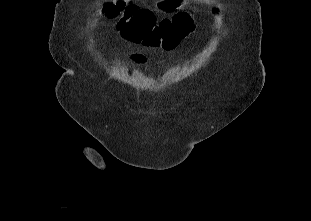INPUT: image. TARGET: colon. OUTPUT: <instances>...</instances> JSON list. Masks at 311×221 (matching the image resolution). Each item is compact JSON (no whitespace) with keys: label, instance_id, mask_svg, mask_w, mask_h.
<instances>
[{"label":"colon","instance_id":"1","mask_svg":"<svg viewBox=\"0 0 311 221\" xmlns=\"http://www.w3.org/2000/svg\"><path fill=\"white\" fill-rule=\"evenodd\" d=\"M105 5L108 7L110 4L107 2ZM101 15L103 20L109 16L121 17L119 21L124 25H119L118 30L122 32V39H133L149 48L172 50L194 29L188 13H178L171 19L163 18L157 23L149 9L125 5L124 1H113L110 11L102 10Z\"/></svg>","mask_w":311,"mask_h":221}]
</instances>
